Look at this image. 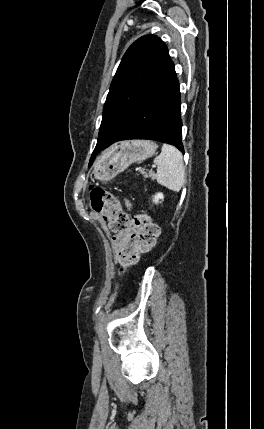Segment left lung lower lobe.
<instances>
[{"label":"left lung lower lobe","instance_id":"left-lung-lower-lobe-1","mask_svg":"<svg viewBox=\"0 0 264 429\" xmlns=\"http://www.w3.org/2000/svg\"><path fill=\"white\" fill-rule=\"evenodd\" d=\"M180 108L179 82L174 63L169 58L162 76L143 98L128 127L117 141L127 139L156 140L174 145L184 153L181 141ZM100 150L93 152L90 161L94 160Z\"/></svg>","mask_w":264,"mask_h":429}]
</instances>
